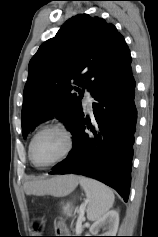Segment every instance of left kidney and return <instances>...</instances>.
<instances>
[{
    "instance_id": "1",
    "label": "left kidney",
    "mask_w": 158,
    "mask_h": 237,
    "mask_svg": "<svg viewBox=\"0 0 158 237\" xmlns=\"http://www.w3.org/2000/svg\"><path fill=\"white\" fill-rule=\"evenodd\" d=\"M118 226L119 213L116 210H111L94 222L89 231L92 236H116ZM100 229L104 230V232L99 235Z\"/></svg>"
}]
</instances>
